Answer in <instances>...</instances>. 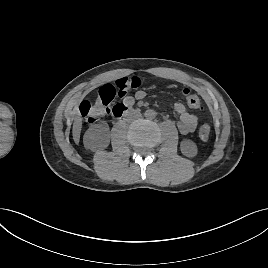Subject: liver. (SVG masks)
Masks as SVG:
<instances>
[{"instance_id":"liver-1","label":"liver","mask_w":268,"mask_h":268,"mask_svg":"<svg viewBox=\"0 0 268 268\" xmlns=\"http://www.w3.org/2000/svg\"><path fill=\"white\" fill-rule=\"evenodd\" d=\"M81 129H82V118L79 115H77L74 118L73 129H72L73 139L76 144L79 143Z\"/></svg>"}]
</instances>
